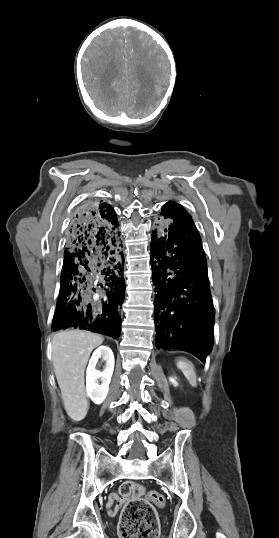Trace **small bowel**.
<instances>
[{
	"instance_id": "small-bowel-1",
	"label": "small bowel",
	"mask_w": 279,
	"mask_h": 538,
	"mask_svg": "<svg viewBox=\"0 0 279 538\" xmlns=\"http://www.w3.org/2000/svg\"><path fill=\"white\" fill-rule=\"evenodd\" d=\"M122 501L117 494H112L106 504L107 513L109 516H115L121 509Z\"/></svg>"
}]
</instances>
